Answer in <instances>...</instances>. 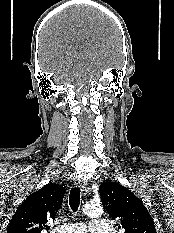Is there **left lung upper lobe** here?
<instances>
[{"mask_svg": "<svg viewBox=\"0 0 174 233\" xmlns=\"http://www.w3.org/2000/svg\"><path fill=\"white\" fill-rule=\"evenodd\" d=\"M101 202L125 233H156L153 218L142 201L129 189L116 182L99 186Z\"/></svg>", "mask_w": 174, "mask_h": 233, "instance_id": "obj_1", "label": "left lung upper lobe"}]
</instances>
